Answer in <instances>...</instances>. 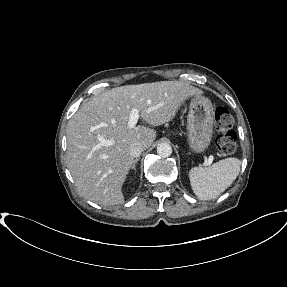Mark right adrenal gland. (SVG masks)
Listing matches in <instances>:
<instances>
[{
	"mask_svg": "<svg viewBox=\"0 0 287 287\" xmlns=\"http://www.w3.org/2000/svg\"><path fill=\"white\" fill-rule=\"evenodd\" d=\"M138 161H139V158H136L135 160H133L130 169L135 171L136 170L135 166L138 163Z\"/></svg>",
	"mask_w": 287,
	"mask_h": 287,
	"instance_id": "right-adrenal-gland-1",
	"label": "right adrenal gland"
}]
</instances>
